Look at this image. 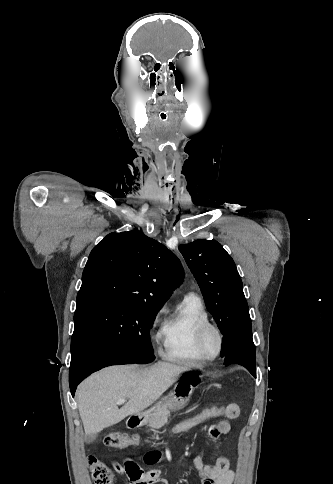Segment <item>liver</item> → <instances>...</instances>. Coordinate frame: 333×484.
<instances>
[{
  "label": "liver",
  "mask_w": 333,
  "mask_h": 484,
  "mask_svg": "<svg viewBox=\"0 0 333 484\" xmlns=\"http://www.w3.org/2000/svg\"><path fill=\"white\" fill-rule=\"evenodd\" d=\"M188 370L187 366L158 361L151 366H111L92 374L76 392L85 434H97L129 415L142 412ZM120 398L129 400L119 409Z\"/></svg>",
  "instance_id": "1"
}]
</instances>
